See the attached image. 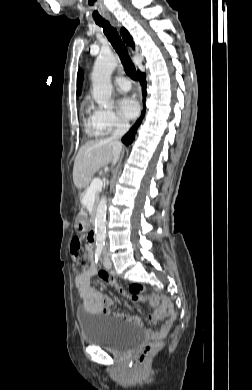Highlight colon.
Returning a JSON list of instances; mask_svg holds the SVG:
<instances>
[{"mask_svg":"<svg viewBox=\"0 0 252 390\" xmlns=\"http://www.w3.org/2000/svg\"><path fill=\"white\" fill-rule=\"evenodd\" d=\"M90 241V235L88 234ZM70 252L73 262V270L76 273L86 271L92 265V253L87 246H84L81 239L74 237L70 243ZM106 274V273H105ZM122 290V288H120ZM144 291V287L140 284L133 283L129 286L128 295H137ZM160 347L159 342L147 344L139 353L140 362H146L152 354Z\"/></svg>","mask_w":252,"mask_h":390,"instance_id":"obj_1","label":"colon"}]
</instances>
